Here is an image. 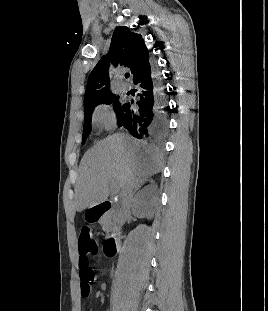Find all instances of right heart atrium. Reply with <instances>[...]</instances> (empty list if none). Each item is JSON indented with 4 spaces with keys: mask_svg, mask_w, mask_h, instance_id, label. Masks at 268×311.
I'll return each instance as SVG.
<instances>
[{
    "mask_svg": "<svg viewBox=\"0 0 268 311\" xmlns=\"http://www.w3.org/2000/svg\"><path fill=\"white\" fill-rule=\"evenodd\" d=\"M93 118L96 124L104 130H111L114 126V114L107 105L99 106L94 112Z\"/></svg>",
    "mask_w": 268,
    "mask_h": 311,
    "instance_id": "obj_1",
    "label": "right heart atrium"
}]
</instances>
